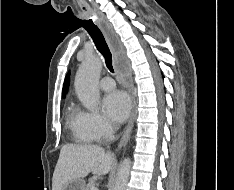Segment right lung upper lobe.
<instances>
[{"mask_svg": "<svg viewBox=\"0 0 234 190\" xmlns=\"http://www.w3.org/2000/svg\"><path fill=\"white\" fill-rule=\"evenodd\" d=\"M70 73L67 74L64 85H63V90H62V97H65V94L67 93L68 87H69V81H70Z\"/></svg>", "mask_w": 234, "mask_h": 190, "instance_id": "obj_1", "label": "right lung upper lobe"}]
</instances>
